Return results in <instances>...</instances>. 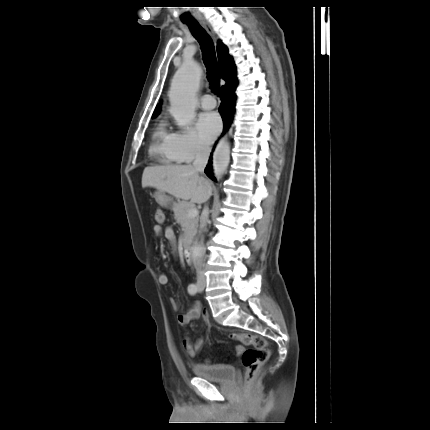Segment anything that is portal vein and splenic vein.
Masks as SVG:
<instances>
[{"mask_svg": "<svg viewBox=\"0 0 430 430\" xmlns=\"http://www.w3.org/2000/svg\"><path fill=\"white\" fill-rule=\"evenodd\" d=\"M199 214L198 210L196 208H191L188 211V217H195Z\"/></svg>", "mask_w": 430, "mask_h": 430, "instance_id": "portal-vein-and-splenic-vein-1", "label": "portal vein and splenic vein"}]
</instances>
